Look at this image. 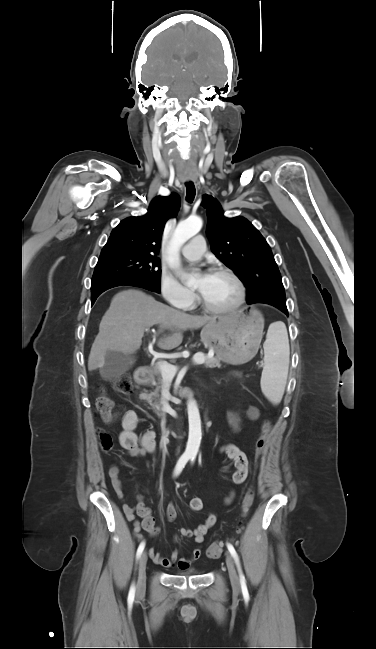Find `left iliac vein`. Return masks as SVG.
<instances>
[{
  "instance_id": "left-iliac-vein-1",
  "label": "left iliac vein",
  "mask_w": 376,
  "mask_h": 649,
  "mask_svg": "<svg viewBox=\"0 0 376 649\" xmlns=\"http://www.w3.org/2000/svg\"><path fill=\"white\" fill-rule=\"evenodd\" d=\"M226 565L228 568V573L233 588L236 590H240L241 585L235 569L234 559L229 553H226Z\"/></svg>"
}]
</instances>
